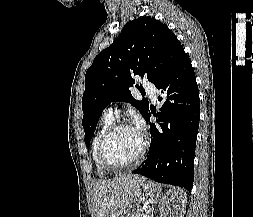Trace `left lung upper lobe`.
<instances>
[{
	"mask_svg": "<svg viewBox=\"0 0 253 217\" xmlns=\"http://www.w3.org/2000/svg\"><path fill=\"white\" fill-rule=\"evenodd\" d=\"M183 53L177 37L154 17L142 16L128 22L86 72L82 97L86 146L90 144L102 111L113 101L131 103L145 117L149 102L138 101L131 95L133 76H145L156 85Z\"/></svg>",
	"mask_w": 253,
	"mask_h": 217,
	"instance_id": "1",
	"label": "left lung upper lobe"
}]
</instances>
